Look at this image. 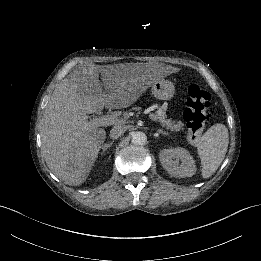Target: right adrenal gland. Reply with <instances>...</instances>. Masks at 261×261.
<instances>
[{
	"instance_id": "1",
	"label": "right adrenal gland",
	"mask_w": 261,
	"mask_h": 261,
	"mask_svg": "<svg viewBox=\"0 0 261 261\" xmlns=\"http://www.w3.org/2000/svg\"><path fill=\"white\" fill-rule=\"evenodd\" d=\"M114 141H111L109 144H107L106 146H102V151L106 152L109 148L112 147Z\"/></svg>"
}]
</instances>
